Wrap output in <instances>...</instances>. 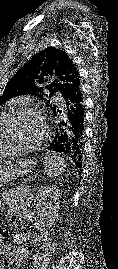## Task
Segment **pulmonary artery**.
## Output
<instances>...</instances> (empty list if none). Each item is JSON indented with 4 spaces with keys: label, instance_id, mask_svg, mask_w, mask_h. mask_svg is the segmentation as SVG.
<instances>
[{
    "label": "pulmonary artery",
    "instance_id": "e3ab8cb5",
    "mask_svg": "<svg viewBox=\"0 0 118 269\" xmlns=\"http://www.w3.org/2000/svg\"><path fill=\"white\" fill-rule=\"evenodd\" d=\"M53 99L57 104L62 103V99H61V96L59 94H55Z\"/></svg>",
    "mask_w": 118,
    "mask_h": 269
}]
</instances>
